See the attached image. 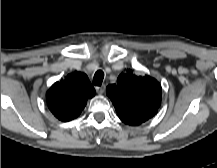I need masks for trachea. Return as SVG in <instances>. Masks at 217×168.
<instances>
[{"label": "trachea", "mask_w": 217, "mask_h": 168, "mask_svg": "<svg viewBox=\"0 0 217 168\" xmlns=\"http://www.w3.org/2000/svg\"><path fill=\"white\" fill-rule=\"evenodd\" d=\"M103 78H104V72L102 70H98L94 74V78H93L94 85L100 86L102 84Z\"/></svg>", "instance_id": "trachea-1"}]
</instances>
